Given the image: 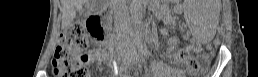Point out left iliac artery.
I'll use <instances>...</instances> for the list:
<instances>
[{
	"instance_id": "1",
	"label": "left iliac artery",
	"mask_w": 258,
	"mask_h": 77,
	"mask_svg": "<svg viewBox=\"0 0 258 77\" xmlns=\"http://www.w3.org/2000/svg\"><path fill=\"white\" fill-rule=\"evenodd\" d=\"M141 48H143V46H141ZM141 52H142V54H144V55L148 54L147 51H146V49H141Z\"/></svg>"
}]
</instances>
